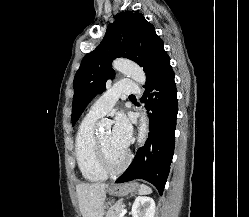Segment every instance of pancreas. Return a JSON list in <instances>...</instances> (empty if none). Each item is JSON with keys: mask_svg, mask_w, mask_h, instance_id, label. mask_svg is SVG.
<instances>
[{"mask_svg": "<svg viewBox=\"0 0 249 217\" xmlns=\"http://www.w3.org/2000/svg\"><path fill=\"white\" fill-rule=\"evenodd\" d=\"M124 208V203L122 201L116 202L106 213L105 217H119V214Z\"/></svg>", "mask_w": 249, "mask_h": 217, "instance_id": "1", "label": "pancreas"}]
</instances>
